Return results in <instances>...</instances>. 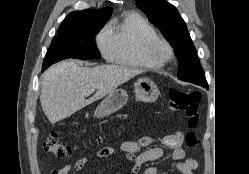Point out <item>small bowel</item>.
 <instances>
[{
    "instance_id": "1",
    "label": "small bowel",
    "mask_w": 249,
    "mask_h": 174,
    "mask_svg": "<svg viewBox=\"0 0 249 174\" xmlns=\"http://www.w3.org/2000/svg\"><path fill=\"white\" fill-rule=\"evenodd\" d=\"M154 140L150 136H135L132 140L126 141L119 148L103 147L97 152L98 158H107L117 154H122L131 162V171L134 174H159L155 167H146L141 170L142 165L149 161H155L164 157V150L161 147H150ZM184 134L177 131L172 134L163 135L160 143L163 147L171 150L169 158L176 162V169L179 174H193L198 168V161L193 158H185L183 149ZM142 148L146 150L140 152ZM90 157L85 156L74 163L64 165L59 169H54L51 174H79L89 162Z\"/></svg>"
}]
</instances>
